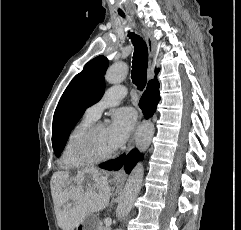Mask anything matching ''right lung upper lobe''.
Wrapping results in <instances>:
<instances>
[{
    "instance_id": "1",
    "label": "right lung upper lobe",
    "mask_w": 241,
    "mask_h": 230,
    "mask_svg": "<svg viewBox=\"0 0 241 230\" xmlns=\"http://www.w3.org/2000/svg\"><path fill=\"white\" fill-rule=\"evenodd\" d=\"M158 71H159V69L156 70V74L158 73ZM155 80H156V77H155V79L150 80L149 82H152V81H155Z\"/></svg>"
}]
</instances>
